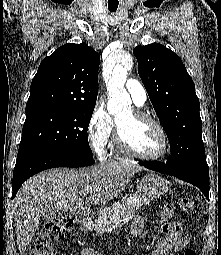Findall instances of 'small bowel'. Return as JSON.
I'll return each mask as SVG.
<instances>
[{
    "instance_id": "c3829d8e",
    "label": "small bowel",
    "mask_w": 221,
    "mask_h": 255,
    "mask_svg": "<svg viewBox=\"0 0 221 255\" xmlns=\"http://www.w3.org/2000/svg\"><path fill=\"white\" fill-rule=\"evenodd\" d=\"M143 229V219L136 216L130 227L132 236H139ZM189 244V238L183 233L182 226L178 222L164 224L161 235L152 241L154 248L153 255H175L184 250ZM81 255H101L100 251L94 248H86Z\"/></svg>"
}]
</instances>
